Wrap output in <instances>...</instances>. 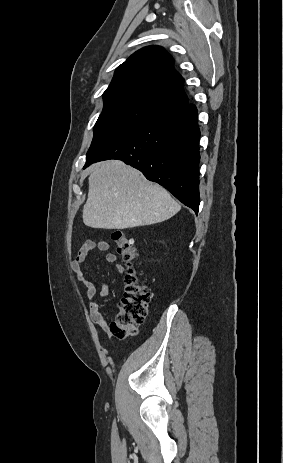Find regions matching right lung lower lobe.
Instances as JSON below:
<instances>
[{"mask_svg": "<svg viewBox=\"0 0 283 463\" xmlns=\"http://www.w3.org/2000/svg\"><path fill=\"white\" fill-rule=\"evenodd\" d=\"M200 131L195 105L185 103L158 114L86 157L94 162L119 159L169 190L198 213Z\"/></svg>", "mask_w": 283, "mask_h": 463, "instance_id": "98d812e1", "label": "right lung lower lobe"}]
</instances>
